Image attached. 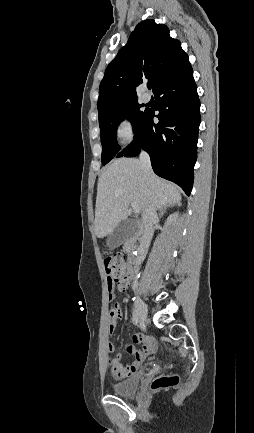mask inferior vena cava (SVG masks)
Instances as JSON below:
<instances>
[{
    "mask_svg": "<svg viewBox=\"0 0 254 433\" xmlns=\"http://www.w3.org/2000/svg\"><path fill=\"white\" fill-rule=\"evenodd\" d=\"M140 163L144 171L147 175L152 174V168H151V162L149 155L142 151L139 156ZM158 219L157 212H156V206L151 203L148 205L145 212L142 214V222H143V232L142 236L140 238L139 247L137 249L138 251V257L136 258V265H135V273L138 272L139 268L138 265L141 264V262L145 259V256L147 254L152 236H153V222H155ZM137 277L134 278L133 287L135 288L137 286Z\"/></svg>",
    "mask_w": 254,
    "mask_h": 433,
    "instance_id": "inferior-vena-cava-1",
    "label": "inferior vena cava"
}]
</instances>
